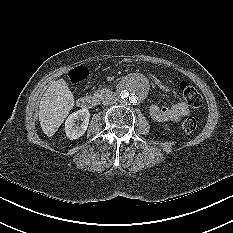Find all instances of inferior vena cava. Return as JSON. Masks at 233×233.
Returning a JSON list of instances; mask_svg holds the SVG:
<instances>
[{"mask_svg":"<svg viewBox=\"0 0 233 233\" xmlns=\"http://www.w3.org/2000/svg\"><path fill=\"white\" fill-rule=\"evenodd\" d=\"M116 102H117V97L115 95H110L106 97L105 99H103L102 104L104 106H108V105L115 104Z\"/></svg>","mask_w":233,"mask_h":233,"instance_id":"602c4592","label":"inferior vena cava"}]
</instances>
